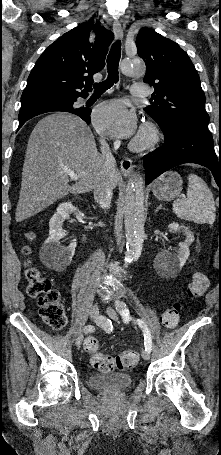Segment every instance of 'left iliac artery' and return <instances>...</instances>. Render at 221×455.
<instances>
[{
	"instance_id": "44dca946",
	"label": "left iliac artery",
	"mask_w": 221,
	"mask_h": 455,
	"mask_svg": "<svg viewBox=\"0 0 221 455\" xmlns=\"http://www.w3.org/2000/svg\"><path fill=\"white\" fill-rule=\"evenodd\" d=\"M116 304H117V309H118L119 313L123 317V321L125 323H128L131 318L129 315V309L127 308L126 304L123 301H116ZM136 323L139 325V327L142 329V331L144 333L145 350L150 353L152 350L151 334H150L146 324L142 320L137 319Z\"/></svg>"
}]
</instances>
